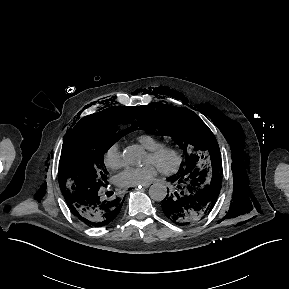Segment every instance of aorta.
<instances>
[{"mask_svg":"<svg viewBox=\"0 0 289 289\" xmlns=\"http://www.w3.org/2000/svg\"><path fill=\"white\" fill-rule=\"evenodd\" d=\"M123 160L131 166H140L145 162L146 153L138 145L126 147L122 154ZM167 195V188L161 183H155L149 188V196L154 201H162Z\"/></svg>","mask_w":289,"mask_h":289,"instance_id":"aorta-1","label":"aorta"}]
</instances>
